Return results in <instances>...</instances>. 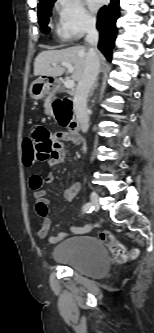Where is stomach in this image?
I'll list each match as a JSON object with an SVG mask.
<instances>
[{
  "label": "stomach",
  "mask_w": 154,
  "mask_h": 333,
  "mask_svg": "<svg viewBox=\"0 0 154 333\" xmlns=\"http://www.w3.org/2000/svg\"><path fill=\"white\" fill-rule=\"evenodd\" d=\"M49 92L50 83L42 77L35 80L29 88L30 96L36 100L44 98L47 94H49Z\"/></svg>",
  "instance_id": "0dacf381"
}]
</instances>
